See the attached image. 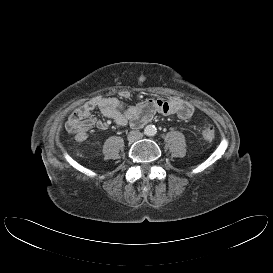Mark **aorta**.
<instances>
[{
	"label": "aorta",
	"mask_w": 273,
	"mask_h": 273,
	"mask_svg": "<svg viewBox=\"0 0 273 273\" xmlns=\"http://www.w3.org/2000/svg\"><path fill=\"white\" fill-rule=\"evenodd\" d=\"M145 134L148 136H153L156 134V127L154 125H147L145 127Z\"/></svg>",
	"instance_id": "obj_1"
}]
</instances>
